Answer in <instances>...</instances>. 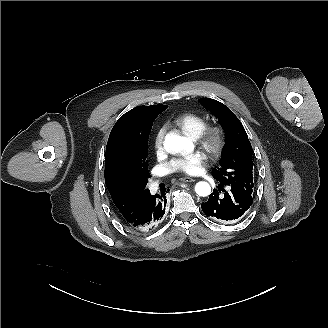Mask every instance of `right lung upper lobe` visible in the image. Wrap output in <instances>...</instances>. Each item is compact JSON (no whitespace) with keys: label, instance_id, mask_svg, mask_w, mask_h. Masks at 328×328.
Listing matches in <instances>:
<instances>
[{"label":"right lung upper lobe","instance_id":"cb5924a9","mask_svg":"<svg viewBox=\"0 0 328 328\" xmlns=\"http://www.w3.org/2000/svg\"><path fill=\"white\" fill-rule=\"evenodd\" d=\"M149 107L163 112L166 105L139 106L125 113L114 125L106 147L105 154V183L110 192L112 200L118 210L120 218L127 223H132L137 219L144 203L150 194L148 191H141L130 186L122 177L116 161L115 145L116 138L121 126L130 117Z\"/></svg>","mask_w":328,"mask_h":328}]
</instances>
